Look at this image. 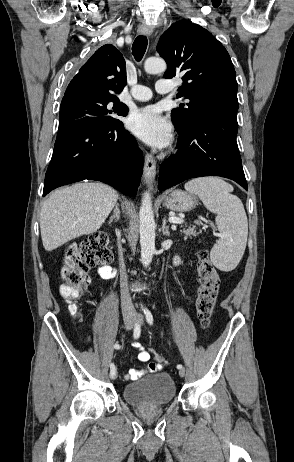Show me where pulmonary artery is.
Wrapping results in <instances>:
<instances>
[{
  "label": "pulmonary artery",
  "instance_id": "obj_1",
  "mask_svg": "<svg viewBox=\"0 0 294 462\" xmlns=\"http://www.w3.org/2000/svg\"><path fill=\"white\" fill-rule=\"evenodd\" d=\"M156 92L160 94H167L172 91V85L170 81L166 79H160L156 82L155 85ZM153 95V92L150 88L143 85H135L132 87L129 96L138 101H147Z\"/></svg>",
  "mask_w": 294,
  "mask_h": 462
}]
</instances>
